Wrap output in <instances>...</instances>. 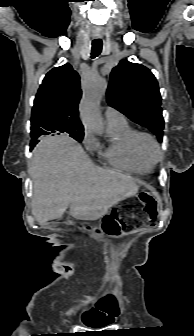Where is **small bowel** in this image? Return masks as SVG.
<instances>
[{
	"label": "small bowel",
	"mask_w": 194,
	"mask_h": 336,
	"mask_svg": "<svg viewBox=\"0 0 194 336\" xmlns=\"http://www.w3.org/2000/svg\"><path fill=\"white\" fill-rule=\"evenodd\" d=\"M118 315L117 309L111 306H105L101 310H98L89 321L87 325L91 326H108L112 324L113 320Z\"/></svg>",
	"instance_id": "obj_1"
}]
</instances>
